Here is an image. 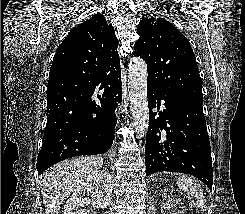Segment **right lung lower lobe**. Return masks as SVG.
I'll return each instance as SVG.
<instances>
[{
	"label": "right lung lower lobe",
	"instance_id": "obj_1",
	"mask_svg": "<svg viewBox=\"0 0 245 214\" xmlns=\"http://www.w3.org/2000/svg\"><path fill=\"white\" fill-rule=\"evenodd\" d=\"M95 90L81 100L56 94L48 96L47 123L38 154V175L74 156L103 154L113 144L115 109L121 102V74L102 76ZM101 92L100 104L91 99Z\"/></svg>",
	"mask_w": 245,
	"mask_h": 214
}]
</instances>
